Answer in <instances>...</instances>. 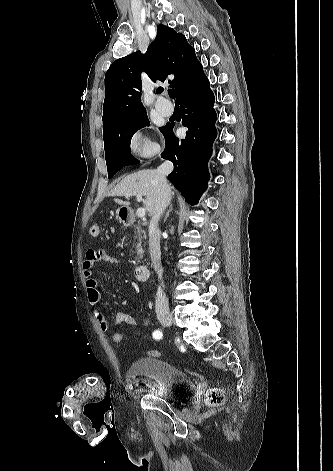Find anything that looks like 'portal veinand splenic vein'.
I'll list each match as a JSON object with an SVG mask.
<instances>
[{
    "label": "portal vein and splenic vein",
    "mask_w": 333,
    "mask_h": 471,
    "mask_svg": "<svg viewBox=\"0 0 333 471\" xmlns=\"http://www.w3.org/2000/svg\"><path fill=\"white\" fill-rule=\"evenodd\" d=\"M136 197H137L138 201L142 200V195L137 194ZM145 214H146V209L145 208H138L137 211H136V215L140 218H143L145 216Z\"/></svg>",
    "instance_id": "1"
}]
</instances>
